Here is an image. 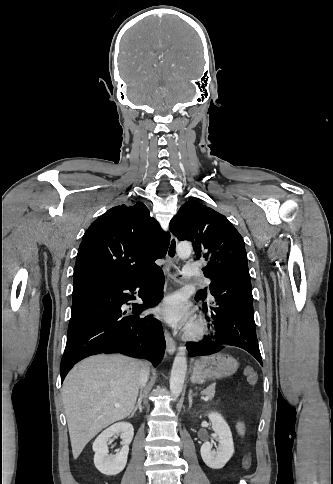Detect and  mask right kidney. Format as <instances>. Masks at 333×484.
Returning a JSON list of instances; mask_svg holds the SVG:
<instances>
[{
	"instance_id": "ca27d5eb",
	"label": "right kidney",
	"mask_w": 333,
	"mask_h": 484,
	"mask_svg": "<svg viewBox=\"0 0 333 484\" xmlns=\"http://www.w3.org/2000/svg\"><path fill=\"white\" fill-rule=\"evenodd\" d=\"M115 434H120L123 447L115 455H109L107 441ZM133 435L134 428L128 422L116 423L103 431L93 443L94 464L97 470L107 476L119 474L126 466Z\"/></svg>"
}]
</instances>
